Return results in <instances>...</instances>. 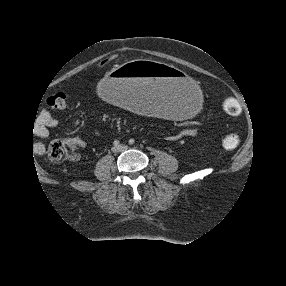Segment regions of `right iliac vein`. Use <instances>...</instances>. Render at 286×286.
Returning a JSON list of instances; mask_svg holds the SVG:
<instances>
[{
	"instance_id": "63e3f726",
	"label": "right iliac vein",
	"mask_w": 286,
	"mask_h": 286,
	"mask_svg": "<svg viewBox=\"0 0 286 286\" xmlns=\"http://www.w3.org/2000/svg\"><path fill=\"white\" fill-rule=\"evenodd\" d=\"M112 151L114 152V153H118V152H120V149H119V147H113L112 148Z\"/></svg>"
}]
</instances>
